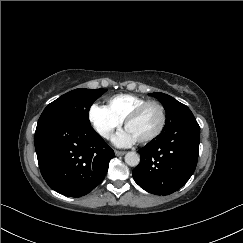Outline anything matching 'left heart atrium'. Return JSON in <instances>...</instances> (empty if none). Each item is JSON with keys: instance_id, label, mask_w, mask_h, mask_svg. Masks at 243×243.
Wrapping results in <instances>:
<instances>
[{"instance_id": "left-heart-atrium-1", "label": "left heart atrium", "mask_w": 243, "mask_h": 243, "mask_svg": "<svg viewBox=\"0 0 243 243\" xmlns=\"http://www.w3.org/2000/svg\"><path fill=\"white\" fill-rule=\"evenodd\" d=\"M117 147H128L136 142L135 137L129 132L128 129L118 132L112 139Z\"/></svg>"}]
</instances>
